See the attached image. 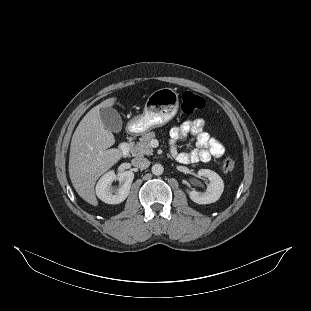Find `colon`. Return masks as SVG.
<instances>
[{
	"label": "colon",
	"instance_id": "1",
	"mask_svg": "<svg viewBox=\"0 0 311 311\" xmlns=\"http://www.w3.org/2000/svg\"><path fill=\"white\" fill-rule=\"evenodd\" d=\"M205 108V100L190 91L184 92L182 95L181 109L186 115H194ZM235 167V160L231 156H227L222 162V169L225 172L232 171Z\"/></svg>",
	"mask_w": 311,
	"mask_h": 311
}]
</instances>
